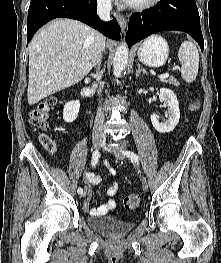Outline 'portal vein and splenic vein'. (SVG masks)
Returning <instances> with one entry per match:
<instances>
[{"mask_svg": "<svg viewBox=\"0 0 221 263\" xmlns=\"http://www.w3.org/2000/svg\"><path fill=\"white\" fill-rule=\"evenodd\" d=\"M177 69H179V66H173L172 67V70H177ZM169 77V73H164V74H161V75H159V78H161V79H166V78H168Z\"/></svg>", "mask_w": 221, "mask_h": 263, "instance_id": "18ae733b", "label": "portal vein and splenic vein"}]
</instances>
